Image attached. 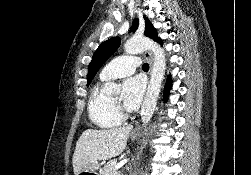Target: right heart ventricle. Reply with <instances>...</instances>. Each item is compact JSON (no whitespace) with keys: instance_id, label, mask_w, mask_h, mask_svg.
I'll use <instances>...</instances> for the list:
<instances>
[{"instance_id":"right-heart-ventricle-1","label":"right heart ventricle","mask_w":251,"mask_h":175,"mask_svg":"<svg viewBox=\"0 0 251 175\" xmlns=\"http://www.w3.org/2000/svg\"><path fill=\"white\" fill-rule=\"evenodd\" d=\"M87 113L92 124L99 128H113L120 122L111 102L104 97L100 82L94 84L90 90Z\"/></svg>"}]
</instances>
